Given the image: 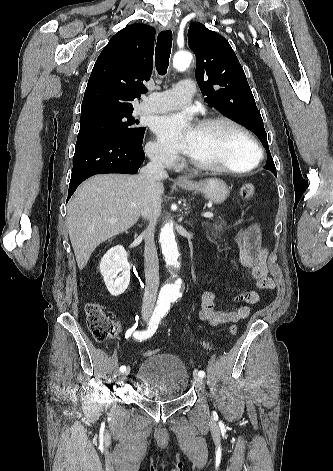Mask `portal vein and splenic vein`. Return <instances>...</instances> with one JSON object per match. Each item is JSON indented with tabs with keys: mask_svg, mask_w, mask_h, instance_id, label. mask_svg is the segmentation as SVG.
Returning <instances> with one entry per match:
<instances>
[{
	"mask_svg": "<svg viewBox=\"0 0 333 471\" xmlns=\"http://www.w3.org/2000/svg\"><path fill=\"white\" fill-rule=\"evenodd\" d=\"M202 216L205 218H213L214 215L212 212H204ZM111 222H115V221H111Z\"/></svg>",
	"mask_w": 333,
	"mask_h": 471,
	"instance_id": "portal-vein-and-splenic-vein-1",
	"label": "portal vein and splenic vein"
}]
</instances>
